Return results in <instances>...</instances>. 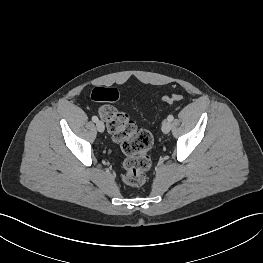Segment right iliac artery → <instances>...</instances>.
I'll list each match as a JSON object with an SVG mask.
<instances>
[{
    "label": "right iliac artery",
    "instance_id": "right-iliac-artery-1",
    "mask_svg": "<svg viewBox=\"0 0 263 263\" xmlns=\"http://www.w3.org/2000/svg\"><path fill=\"white\" fill-rule=\"evenodd\" d=\"M92 121H93V122H97V121H98V117H97V116H93V117H92Z\"/></svg>",
    "mask_w": 263,
    "mask_h": 263
}]
</instances>
